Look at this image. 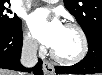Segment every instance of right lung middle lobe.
<instances>
[{"mask_svg": "<svg viewBox=\"0 0 102 75\" xmlns=\"http://www.w3.org/2000/svg\"><path fill=\"white\" fill-rule=\"evenodd\" d=\"M10 1H0V29H15L21 25V19L16 15L11 17L12 11L5 8L4 4Z\"/></svg>", "mask_w": 102, "mask_h": 75, "instance_id": "right-lung-middle-lobe-1", "label": "right lung middle lobe"}]
</instances>
